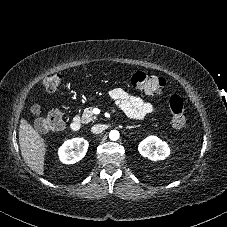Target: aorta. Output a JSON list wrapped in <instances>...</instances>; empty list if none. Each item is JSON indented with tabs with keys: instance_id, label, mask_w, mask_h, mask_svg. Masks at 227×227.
<instances>
[{
	"instance_id": "obj_1",
	"label": "aorta",
	"mask_w": 227,
	"mask_h": 227,
	"mask_svg": "<svg viewBox=\"0 0 227 227\" xmlns=\"http://www.w3.org/2000/svg\"><path fill=\"white\" fill-rule=\"evenodd\" d=\"M120 137V134L117 130H112L110 133H109V138L112 140V141H116L118 140Z\"/></svg>"
}]
</instances>
